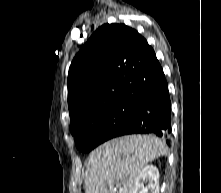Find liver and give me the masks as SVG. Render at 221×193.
Segmentation results:
<instances>
[{"instance_id":"6515ba94","label":"liver","mask_w":221,"mask_h":193,"mask_svg":"<svg viewBox=\"0 0 221 193\" xmlns=\"http://www.w3.org/2000/svg\"><path fill=\"white\" fill-rule=\"evenodd\" d=\"M167 154L165 142L151 135H129L107 141L90 153L85 193H132L141 170Z\"/></svg>"}]
</instances>
